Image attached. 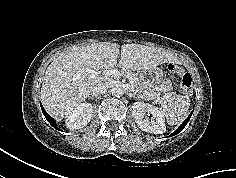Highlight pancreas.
Here are the masks:
<instances>
[{"label":"pancreas","instance_id":"1","mask_svg":"<svg viewBox=\"0 0 236 178\" xmlns=\"http://www.w3.org/2000/svg\"><path fill=\"white\" fill-rule=\"evenodd\" d=\"M122 75L128 79H132L134 90L136 91L137 95L143 100H151L156 98L159 95V92H156L154 89L146 88L136 73L131 71H121Z\"/></svg>","mask_w":236,"mask_h":178}]
</instances>
